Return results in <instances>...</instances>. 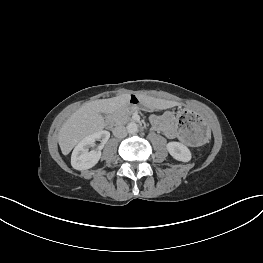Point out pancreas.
<instances>
[{
    "instance_id": "obj_1",
    "label": "pancreas",
    "mask_w": 263,
    "mask_h": 263,
    "mask_svg": "<svg viewBox=\"0 0 263 263\" xmlns=\"http://www.w3.org/2000/svg\"><path fill=\"white\" fill-rule=\"evenodd\" d=\"M133 110L128 108L119 110L115 112L114 118L117 124H126L127 122L131 121V115Z\"/></svg>"
}]
</instances>
